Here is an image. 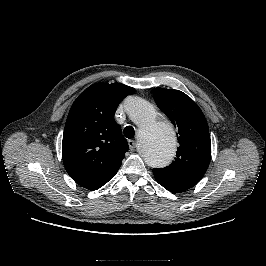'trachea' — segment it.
<instances>
[{"instance_id": "1", "label": "trachea", "mask_w": 266, "mask_h": 266, "mask_svg": "<svg viewBox=\"0 0 266 266\" xmlns=\"http://www.w3.org/2000/svg\"><path fill=\"white\" fill-rule=\"evenodd\" d=\"M135 135L134 128L132 126H126L124 128V136L128 139L133 138Z\"/></svg>"}]
</instances>
